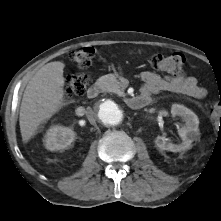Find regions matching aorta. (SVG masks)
Listing matches in <instances>:
<instances>
[{"label":"aorta","instance_id":"1","mask_svg":"<svg viewBox=\"0 0 221 221\" xmlns=\"http://www.w3.org/2000/svg\"><path fill=\"white\" fill-rule=\"evenodd\" d=\"M96 118L105 126L118 125L124 118L123 107L112 99L101 101L96 109Z\"/></svg>","mask_w":221,"mask_h":221}]
</instances>
